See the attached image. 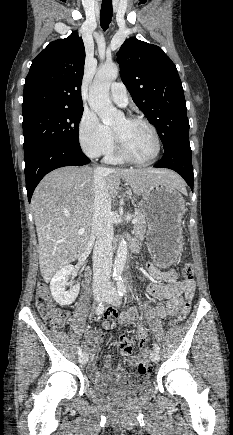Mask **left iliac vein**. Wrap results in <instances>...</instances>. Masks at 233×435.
Here are the masks:
<instances>
[{"label": "left iliac vein", "mask_w": 233, "mask_h": 435, "mask_svg": "<svg viewBox=\"0 0 233 435\" xmlns=\"http://www.w3.org/2000/svg\"><path fill=\"white\" fill-rule=\"evenodd\" d=\"M104 300L109 303L112 304L114 306H119L121 304V299L118 295L117 290L113 287V286H109L106 293L104 294ZM150 359L153 362H158L160 357H159V353L155 350H153L150 353Z\"/></svg>", "instance_id": "obj_1"}]
</instances>
